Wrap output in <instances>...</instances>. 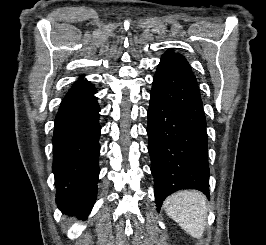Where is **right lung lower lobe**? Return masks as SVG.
<instances>
[{"label":"right lung lower lobe","mask_w":266,"mask_h":245,"mask_svg":"<svg viewBox=\"0 0 266 245\" xmlns=\"http://www.w3.org/2000/svg\"><path fill=\"white\" fill-rule=\"evenodd\" d=\"M95 93L90 82L76 81L55 117L52 168L56 202L66 214L87 215L96 200L101 127Z\"/></svg>","instance_id":"98d812e1"}]
</instances>
